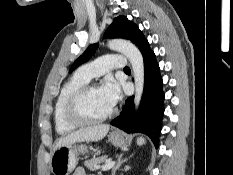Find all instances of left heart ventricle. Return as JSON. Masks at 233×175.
Returning <instances> with one entry per match:
<instances>
[{
	"mask_svg": "<svg viewBox=\"0 0 233 175\" xmlns=\"http://www.w3.org/2000/svg\"><path fill=\"white\" fill-rule=\"evenodd\" d=\"M113 107L109 105L101 93L100 88L92 89L86 96L83 109L91 117H100L108 113Z\"/></svg>",
	"mask_w": 233,
	"mask_h": 175,
	"instance_id": "obj_1",
	"label": "left heart ventricle"
}]
</instances>
